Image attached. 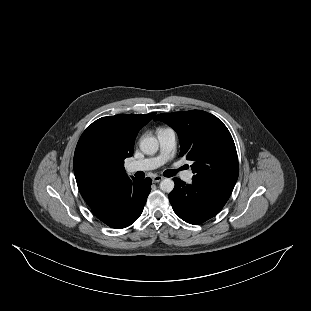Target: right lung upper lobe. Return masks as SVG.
<instances>
[{"instance_id":"right-lung-upper-lobe-1","label":"right lung upper lobe","mask_w":311,"mask_h":311,"mask_svg":"<svg viewBox=\"0 0 311 311\" xmlns=\"http://www.w3.org/2000/svg\"><path fill=\"white\" fill-rule=\"evenodd\" d=\"M155 114L102 117L83 132L75 149L73 169L79 191L89 206L131 180L124 160L132 156L139 130Z\"/></svg>"}]
</instances>
